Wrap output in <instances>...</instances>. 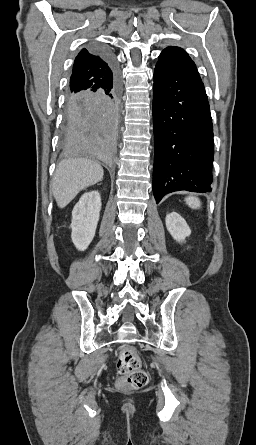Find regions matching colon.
<instances>
[{
	"label": "colon",
	"mask_w": 256,
	"mask_h": 445,
	"mask_svg": "<svg viewBox=\"0 0 256 445\" xmlns=\"http://www.w3.org/2000/svg\"><path fill=\"white\" fill-rule=\"evenodd\" d=\"M118 386L121 389H140L148 383V374L142 368L141 359L131 346L124 347L117 361Z\"/></svg>",
	"instance_id": "1"
}]
</instances>
